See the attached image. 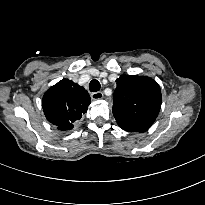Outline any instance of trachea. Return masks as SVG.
<instances>
[{"instance_id": "3493384b", "label": "trachea", "mask_w": 205, "mask_h": 205, "mask_svg": "<svg viewBox=\"0 0 205 205\" xmlns=\"http://www.w3.org/2000/svg\"><path fill=\"white\" fill-rule=\"evenodd\" d=\"M101 88V85L98 80L93 79L89 84V89L91 92H97Z\"/></svg>"}]
</instances>
